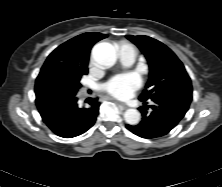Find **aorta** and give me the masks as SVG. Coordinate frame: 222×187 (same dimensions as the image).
Segmentation results:
<instances>
[{"instance_id": "762f6f07", "label": "aorta", "mask_w": 222, "mask_h": 187, "mask_svg": "<svg viewBox=\"0 0 222 187\" xmlns=\"http://www.w3.org/2000/svg\"><path fill=\"white\" fill-rule=\"evenodd\" d=\"M92 58L101 67H111L117 60L116 49L110 43H98L92 49ZM124 119L129 125H137L140 122L141 114L136 109H128L124 113Z\"/></svg>"}]
</instances>
